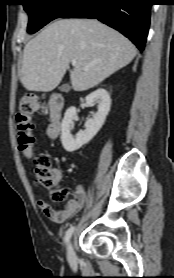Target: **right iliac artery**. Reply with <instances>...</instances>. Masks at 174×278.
<instances>
[{
    "label": "right iliac artery",
    "mask_w": 174,
    "mask_h": 278,
    "mask_svg": "<svg viewBox=\"0 0 174 278\" xmlns=\"http://www.w3.org/2000/svg\"><path fill=\"white\" fill-rule=\"evenodd\" d=\"M74 232V226H71L67 231H66V234H65V243H68L72 234Z\"/></svg>",
    "instance_id": "right-iliac-artery-1"
}]
</instances>
